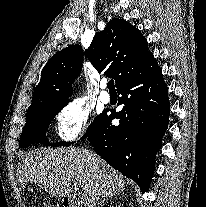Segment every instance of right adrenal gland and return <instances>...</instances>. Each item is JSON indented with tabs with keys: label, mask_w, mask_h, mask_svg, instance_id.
Instances as JSON below:
<instances>
[{
	"label": "right adrenal gland",
	"mask_w": 206,
	"mask_h": 207,
	"mask_svg": "<svg viewBox=\"0 0 206 207\" xmlns=\"http://www.w3.org/2000/svg\"><path fill=\"white\" fill-rule=\"evenodd\" d=\"M112 197H113V196H110L109 198H103V199L101 200V202L99 203V207H103V206H104V202H105L106 200H108V199H112Z\"/></svg>",
	"instance_id": "1"
}]
</instances>
